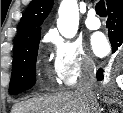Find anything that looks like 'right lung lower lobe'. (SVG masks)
Masks as SVG:
<instances>
[{"mask_svg":"<svg viewBox=\"0 0 123 113\" xmlns=\"http://www.w3.org/2000/svg\"><path fill=\"white\" fill-rule=\"evenodd\" d=\"M107 6L109 17L106 27L108 28L112 52H115L123 43V0H110ZM102 72V69L97 72L98 81L103 80Z\"/></svg>","mask_w":123,"mask_h":113,"instance_id":"98d812e1","label":"right lung lower lobe"}]
</instances>
